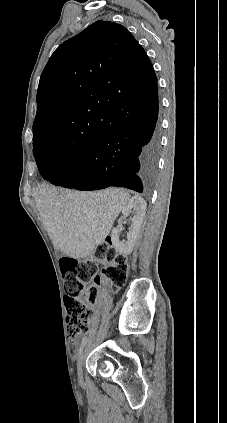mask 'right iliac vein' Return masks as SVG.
<instances>
[{"instance_id":"obj_1","label":"right iliac vein","mask_w":227,"mask_h":423,"mask_svg":"<svg viewBox=\"0 0 227 423\" xmlns=\"http://www.w3.org/2000/svg\"><path fill=\"white\" fill-rule=\"evenodd\" d=\"M86 351L88 352V346H86L83 349V351L81 352V356L79 357V360H78V364H77L78 378H81L82 377V365H83V361H84V357H85Z\"/></svg>"}]
</instances>
